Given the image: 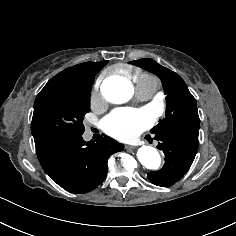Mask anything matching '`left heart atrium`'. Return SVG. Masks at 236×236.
<instances>
[{"label": "left heart atrium", "mask_w": 236, "mask_h": 236, "mask_svg": "<svg viewBox=\"0 0 236 236\" xmlns=\"http://www.w3.org/2000/svg\"><path fill=\"white\" fill-rule=\"evenodd\" d=\"M149 124L146 111L137 109H118L104 122L105 131L119 140H129L141 133Z\"/></svg>", "instance_id": "39dd6f15"}]
</instances>
